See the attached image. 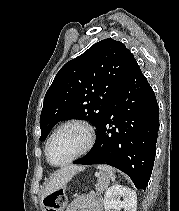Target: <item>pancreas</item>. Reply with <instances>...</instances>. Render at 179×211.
Instances as JSON below:
<instances>
[{
	"label": "pancreas",
	"instance_id": "pancreas-1",
	"mask_svg": "<svg viewBox=\"0 0 179 211\" xmlns=\"http://www.w3.org/2000/svg\"><path fill=\"white\" fill-rule=\"evenodd\" d=\"M107 185H108L107 181L99 180L98 183L96 184V193L98 195H101V193L105 190Z\"/></svg>",
	"mask_w": 179,
	"mask_h": 211
}]
</instances>
